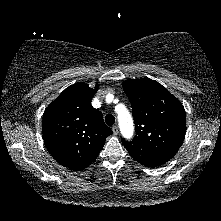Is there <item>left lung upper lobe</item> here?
<instances>
[{"instance_id":"1","label":"left lung upper lobe","mask_w":221,"mask_h":221,"mask_svg":"<svg viewBox=\"0 0 221 221\" xmlns=\"http://www.w3.org/2000/svg\"><path fill=\"white\" fill-rule=\"evenodd\" d=\"M123 90L132 104L136 136L122 141L129 154L147 167H156L174 157L186 131L182 104L160 83L141 78L126 80Z\"/></svg>"}]
</instances>
